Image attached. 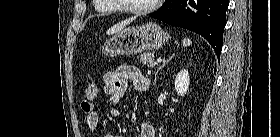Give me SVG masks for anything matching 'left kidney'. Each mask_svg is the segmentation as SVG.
<instances>
[{
    "mask_svg": "<svg viewBox=\"0 0 280 137\" xmlns=\"http://www.w3.org/2000/svg\"><path fill=\"white\" fill-rule=\"evenodd\" d=\"M190 84L189 72L187 69H182L178 72L175 78V90L180 96H185Z\"/></svg>",
    "mask_w": 280,
    "mask_h": 137,
    "instance_id": "left-kidney-1",
    "label": "left kidney"
}]
</instances>
